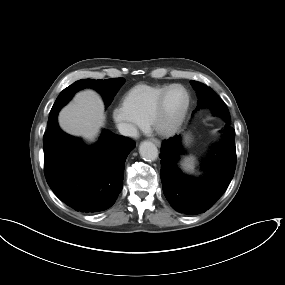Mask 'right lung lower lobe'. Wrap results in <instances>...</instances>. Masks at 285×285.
<instances>
[{"mask_svg": "<svg viewBox=\"0 0 285 285\" xmlns=\"http://www.w3.org/2000/svg\"><path fill=\"white\" fill-rule=\"evenodd\" d=\"M44 172L55 195L83 213L110 208L123 187L124 164L136 146L127 137L103 131L98 142L86 146L64 133L57 118L43 137Z\"/></svg>", "mask_w": 285, "mask_h": 285, "instance_id": "98d812e1", "label": "right lung lower lobe"}]
</instances>
